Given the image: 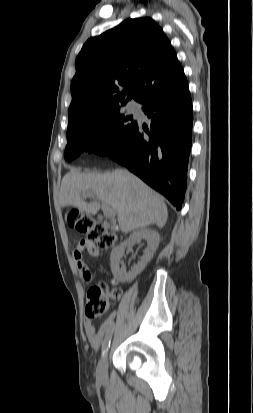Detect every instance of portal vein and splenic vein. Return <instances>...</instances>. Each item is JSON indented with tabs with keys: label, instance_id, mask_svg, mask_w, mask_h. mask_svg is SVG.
<instances>
[{
	"label": "portal vein and splenic vein",
	"instance_id": "portal-vein-and-splenic-vein-1",
	"mask_svg": "<svg viewBox=\"0 0 253 413\" xmlns=\"http://www.w3.org/2000/svg\"><path fill=\"white\" fill-rule=\"evenodd\" d=\"M83 196L94 198V195L91 192H86L83 194ZM102 210H103L104 216L107 218H112L115 214L114 211L105 203L102 204Z\"/></svg>",
	"mask_w": 253,
	"mask_h": 413
}]
</instances>
